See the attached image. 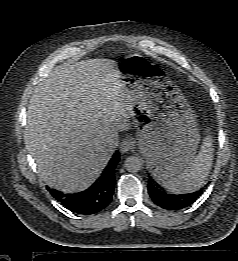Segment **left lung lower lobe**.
Masks as SVG:
<instances>
[{
  "mask_svg": "<svg viewBox=\"0 0 238 261\" xmlns=\"http://www.w3.org/2000/svg\"><path fill=\"white\" fill-rule=\"evenodd\" d=\"M148 193L155 204L167 210H179L194 203L202 191L190 194H168L152 178L148 181Z\"/></svg>",
  "mask_w": 238,
  "mask_h": 261,
  "instance_id": "obj_1",
  "label": "left lung lower lobe"
}]
</instances>
